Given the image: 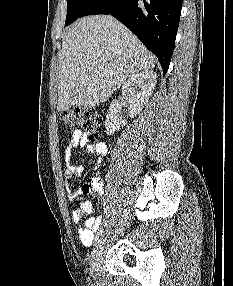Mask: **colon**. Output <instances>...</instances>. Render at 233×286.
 Masks as SVG:
<instances>
[{
	"label": "colon",
	"mask_w": 233,
	"mask_h": 286,
	"mask_svg": "<svg viewBox=\"0 0 233 286\" xmlns=\"http://www.w3.org/2000/svg\"><path fill=\"white\" fill-rule=\"evenodd\" d=\"M65 129L70 131L80 127L85 131L90 140L94 141L99 137L102 119L100 115L91 109L76 108L61 114ZM102 183L96 179H89L83 185V190L88 193L98 192Z\"/></svg>",
	"instance_id": "5ec220e1"
}]
</instances>
